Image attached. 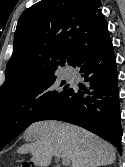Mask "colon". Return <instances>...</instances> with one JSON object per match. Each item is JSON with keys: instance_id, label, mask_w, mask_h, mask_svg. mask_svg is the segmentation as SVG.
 <instances>
[{"instance_id": "1", "label": "colon", "mask_w": 125, "mask_h": 167, "mask_svg": "<svg viewBox=\"0 0 125 167\" xmlns=\"http://www.w3.org/2000/svg\"><path fill=\"white\" fill-rule=\"evenodd\" d=\"M19 167H34V164L30 162H23L19 165Z\"/></svg>"}]
</instances>
